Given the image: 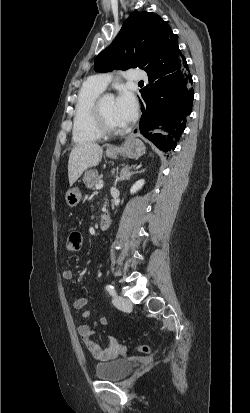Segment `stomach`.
I'll return each instance as SVG.
<instances>
[{
    "label": "stomach",
    "mask_w": 250,
    "mask_h": 413,
    "mask_svg": "<svg viewBox=\"0 0 250 413\" xmlns=\"http://www.w3.org/2000/svg\"><path fill=\"white\" fill-rule=\"evenodd\" d=\"M145 153V146L143 142L137 138L129 137L124 144L115 151L107 150L106 154L110 158H117L119 155L127 156L129 158H138ZM82 198V194L78 187L69 189L66 192L65 200L68 206L76 207Z\"/></svg>",
    "instance_id": "stomach-1"
}]
</instances>
